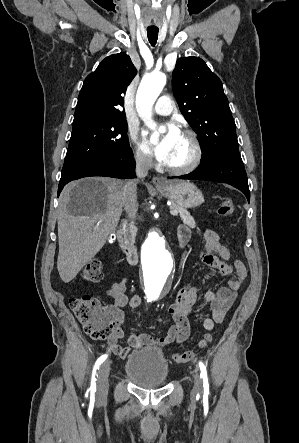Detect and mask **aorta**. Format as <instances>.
<instances>
[{
  "label": "aorta",
  "mask_w": 299,
  "mask_h": 443,
  "mask_svg": "<svg viewBox=\"0 0 299 443\" xmlns=\"http://www.w3.org/2000/svg\"><path fill=\"white\" fill-rule=\"evenodd\" d=\"M166 84V76L153 72L145 76L137 90L136 105L139 115L151 127V109ZM164 128L155 131L151 139L157 140ZM144 291L148 300H157L164 296L168 288L169 275L173 268V255L164 235L156 229L148 232L141 254Z\"/></svg>",
  "instance_id": "1"
}]
</instances>
